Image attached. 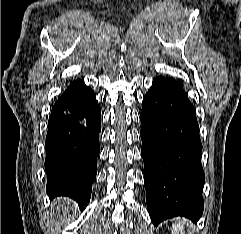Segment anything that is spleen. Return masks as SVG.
<instances>
[{
    "label": "spleen",
    "instance_id": "1",
    "mask_svg": "<svg viewBox=\"0 0 241 234\" xmlns=\"http://www.w3.org/2000/svg\"><path fill=\"white\" fill-rule=\"evenodd\" d=\"M172 234H185L184 233V221L175 220L172 227Z\"/></svg>",
    "mask_w": 241,
    "mask_h": 234
}]
</instances>
